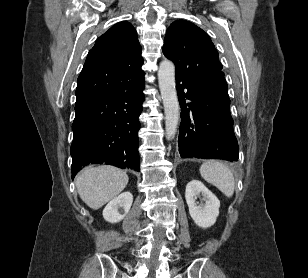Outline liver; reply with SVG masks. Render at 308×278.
I'll use <instances>...</instances> for the list:
<instances>
[{
	"label": "liver",
	"instance_id": "obj_1",
	"mask_svg": "<svg viewBox=\"0 0 308 278\" xmlns=\"http://www.w3.org/2000/svg\"><path fill=\"white\" fill-rule=\"evenodd\" d=\"M125 171L110 165L86 167L76 177L75 184L80 198L97 210L118 196L128 183Z\"/></svg>",
	"mask_w": 308,
	"mask_h": 278
}]
</instances>
